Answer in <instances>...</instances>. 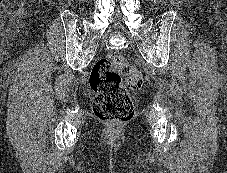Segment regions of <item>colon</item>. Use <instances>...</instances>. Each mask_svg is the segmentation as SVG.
I'll list each match as a JSON object with an SVG mask.
<instances>
[{"instance_id": "obj_1", "label": "colon", "mask_w": 227, "mask_h": 173, "mask_svg": "<svg viewBox=\"0 0 227 173\" xmlns=\"http://www.w3.org/2000/svg\"><path fill=\"white\" fill-rule=\"evenodd\" d=\"M89 82L96 93L95 116L109 123H125L134 116V105L128 90L142 86L141 72L125 57L111 54L99 59L92 67Z\"/></svg>"}]
</instances>
